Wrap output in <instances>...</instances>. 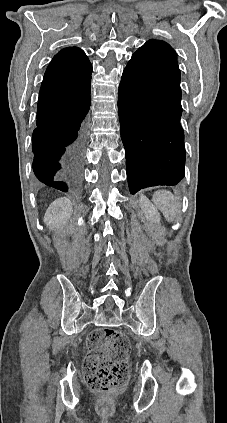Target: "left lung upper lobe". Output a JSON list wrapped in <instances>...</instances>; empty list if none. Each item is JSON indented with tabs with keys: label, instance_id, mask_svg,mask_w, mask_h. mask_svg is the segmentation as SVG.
Here are the masks:
<instances>
[{
	"label": "left lung upper lobe",
	"instance_id": "obj_1",
	"mask_svg": "<svg viewBox=\"0 0 227 423\" xmlns=\"http://www.w3.org/2000/svg\"><path fill=\"white\" fill-rule=\"evenodd\" d=\"M122 76L152 88L157 103L166 110L182 111L177 55L166 42L155 39L147 41L133 54Z\"/></svg>",
	"mask_w": 227,
	"mask_h": 423
}]
</instances>
